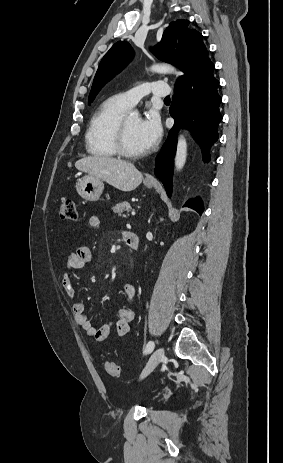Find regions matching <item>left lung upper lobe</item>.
Instances as JSON below:
<instances>
[{
	"label": "left lung upper lobe",
	"instance_id": "1",
	"mask_svg": "<svg viewBox=\"0 0 283 463\" xmlns=\"http://www.w3.org/2000/svg\"><path fill=\"white\" fill-rule=\"evenodd\" d=\"M188 25V20L171 22L165 29L160 43L153 48V53L158 59L175 65L185 73L177 83L188 76L195 67L210 60L202 34L189 29ZM133 55V49L126 41H119L110 48L96 72L89 94V104L100 89L131 61Z\"/></svg>",
	"mask_w": 283,
	"mask_h": 463
}]
</instances>
